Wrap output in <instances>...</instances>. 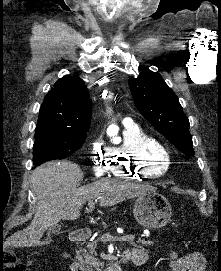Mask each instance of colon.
Wrapping results in <instances>:
<instances>
[{
	"label": "colon",
	"mask_w": 221,
	"mask_h": 271,
	"mask_svg": "<svg viewBox=\"0 0 221 271\" xmlns=\"http://www.w3.org/2000/svg\"><path fill=\"white\" fill-rule=\"evenodd\" d=\"M27 266L13 252L6 253L0 260V271H27Z\"/></svg>",
	"instance_id": "5ec220e1"
}]
</instances>
